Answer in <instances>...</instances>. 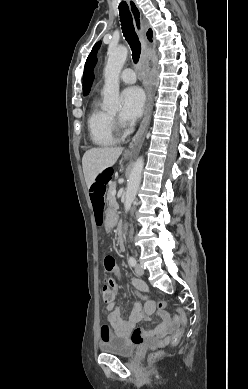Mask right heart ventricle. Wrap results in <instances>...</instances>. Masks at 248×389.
Here are the masks:
<instances>
[{"instance_id":"e07e8e85","label":"right heart ventricle","mask_w":248,"mask_h":389,"mask_svg":"<svg viewBox=\"0 0 248 389\" xmlns=\"http://www.w3.org/2000/svg\"><path fill=\"white\" fill-rule=\"evenodd\" d=\"M87 129L90 140L97 146H111L116 142L112 117L100 108L97 101L91 106L87 119Z\"/></svg>"}]
</instances>
